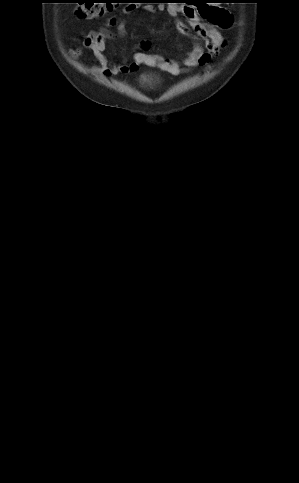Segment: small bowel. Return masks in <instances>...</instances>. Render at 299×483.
<instances>
[{
  "label": "small bowel",
  "instance_id": "c3829d8e",
  "mask_svg": "<svg viewBox=\"0 0 299 483\" xmlns=\"http://www.w3.org/2000/svg\"><path fill=\"white\" fill-rule=\"evenodd\" d=\"M136 9V5H131L126 7L125 12L131 13ZM144 9L152 12L156 10H165L175 19L176 27L180 33L186 34L190 27L204 41V45L195 44L185 58L179 62L165 58L161 55L148 54L147 51L150 48V43L148 41H142L140 44L142 51L134 54L132 62L115 64L112 63L105 54V40L109 37L124 36L126 34V24L120 21L117 17H113L107 20L106 25L114 27L116 29L115 33L110 32L105 27L91 30L82 39L81 46L70 50V54L77 58L82 55L84 50L91 51L97 64V71L106 77L119 73L134 72L141 65L153 66L173 75H181L193 71L198 66H207L212 58L217 56L226 44L224 37L217 27L228 28L231 25L232 16L223 8L213 4H207L204 7L203 14L208 23L199 19V16H202L200 7L197 9L193 5H148L145 6ZM181 17H184L188 24L185 23Z\"/></svg>",
  "mask_w": 299,
  "mask_h": 483
}]
</instances>
